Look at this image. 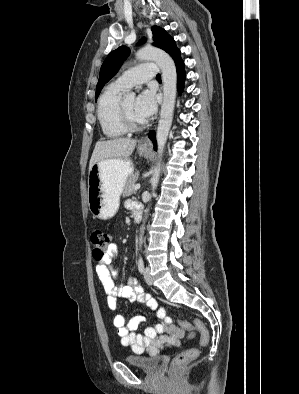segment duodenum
I'll return each instance as SVG.
<instances>
[{
	"mask_svg": "<svg viewBox=\"0 0 299 394\" xmlns=\"http://www.w3.org/2000/svg\"><path fill=\"white\" fill-rule=\"evenodd\" d=\"M143 213L140 209H135L134 211V219L135 222L139 223L142 220Z\"/></svg>",
	"mask_w": 299,
	"mask_h": 394,
	"instance_id": "410a0bca",
	"label": "duodenum"
}]
</instances>
